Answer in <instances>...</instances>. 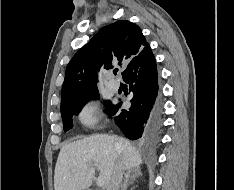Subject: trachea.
<instances>
[{
    "instance_id": "obj_1",
    "label": "trachea",
    "mask_w": 234,
    "mask_h": 190,
    "mask_svg": "<svg viewBox=\"0 0 234 190\" xmlns=\"http://www.w3.org/2000/svg\"><path fill=\"white\" fill-rule=\"evenodd\" d=\"M117 72H118V69H115V70L113 71L114 75H116Z\"/></svg>"
}]
</instances>
